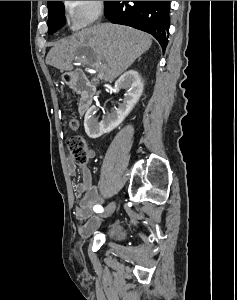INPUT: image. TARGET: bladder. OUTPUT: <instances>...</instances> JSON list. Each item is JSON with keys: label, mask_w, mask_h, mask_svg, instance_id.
<instances>
[{"label": "bladder", "mask_w": 237, "mask_h": 300, "mask_svg": "<svg viewBox=\"0 0 237 300\" xmlns=\"http://www.w3.org/2000/svg\"><path fill=\"white\" fill-rule=\"evenodd\" d=\"M126 236V231L120 222L110 224L104 232V237L109 241H122Z\"/></svg>", "instance_id": "obj_1"}]
</instances>
